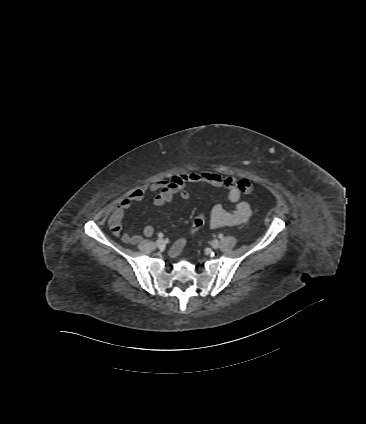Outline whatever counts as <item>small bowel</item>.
<instances>
[{
  "label": "small bowel",
  "mask_w": 366,
  "mask_h": 424,
  "mask_svg": "<svg viewBox=\"0 0 366 424\" xmlns=\"http://www.w3.org/2000/svg\"><path fill=\"white\" fill-rule=\"evenodd\" d=\"M205 183L215 188H224L227 197L234 203V209L226 210L221 204H216L210 212L209 225L211 228H224L240 224H247L252 215V209L247 201L241 200L242 192L238 187L239 180L234 176H221L212 172L176 174L169 180H159L132 190L120 202L109 218V227L114 236L121 238L124 243L138 244L143 237H151L154 227L151 225L143 229L142 234H131L122 231V221L126 211L136 203L141 202L147 194H155L153 204L157 207L172 202L175 196L182 200L190 199L187 187L190 184ZM185 245V239H178L171 248V255L180 254Z\"/></svg>",
  "instance_id": "c3829d8e"
}]
</instances>
